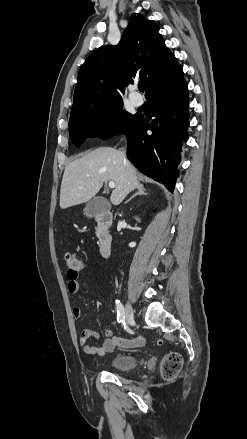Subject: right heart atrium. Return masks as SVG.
Here are the masks:
<instances>
[{
  "instance_id": "1",
  "label": "right heart atrium",
  "mask_w": 247,
  "mask_h": 439,
  "mask_svg": "<svg viewBox=\"0 0 247 439\" xmlns=\"http://www.w3.org/2000/svg\"><path fill=\"white\" fill-rule=\"evenodd\" d=\"M115 124V117L112 113H106L102 116L99 127L103 132L110 131Z\"/></svg>"
}]
</instances>
